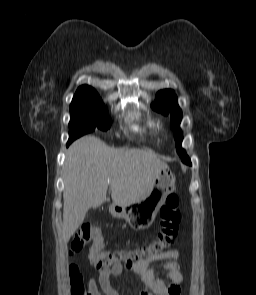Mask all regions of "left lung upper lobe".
I'll return each mask as SVG.
<instances>
[{"instance_id": "5c2ea615", "label": "left lung upper lobe", "mask_w": 256, "mask_h": 295, "mask_svg": "<svg viewBox=\"0 0 256 295\" xmlns=\"http://www.w3.org/2000/svg\"><path fill=\"white\" fill-rule=\"evenodd\" d=\"M151 106L154 110L161 112L164 115H171V126L176 134L175 142L177 153L181 157V160L187 164L188 156L185 150L181 148L183 136L179 128L182 119V111L177 104V97L174 91L170 89L159 91L155 102L152 103Z\"/></svg>"}]
</instances>
